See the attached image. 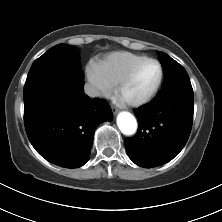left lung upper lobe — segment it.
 <instances>
[{"label": "left lung upper lobe", "mask_w": 222, "mask_h": 222, "mask_svg": "<svg viewBox=\"0 0 222 222\" xmlns=\"http://www.w3.org/2000/svg\"><path fill=\"white\" fill-rule=\"evenodd\" d=\"M158 55L164 71L162 89L172 86L191 85L189 76L183 66L164 52L159 51Z\"/></svg>", "instance_id": "left-lung-upper-lobe-1"}]
</instances>
